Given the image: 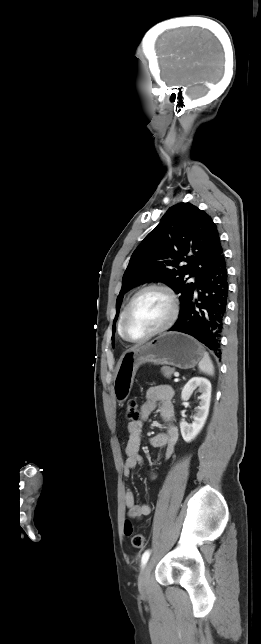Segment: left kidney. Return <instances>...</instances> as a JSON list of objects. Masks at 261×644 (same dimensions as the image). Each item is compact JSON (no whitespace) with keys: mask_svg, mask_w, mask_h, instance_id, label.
Segmentation results:
<instances>
[{"mask_svg":"<svg viewBox=\"0 0 261 644\" xmlns=\"http://www.w3.org/2000/svg\"><path fill=\"white\" fill-rule=\"evenodd\" d=\"M196 388H198V391L201 393V395L198 397L200 402L193 417L194 421L192 422V424H189L184 420L180 422L181 435L186 442H191L200 433L209 413L211 400V383L206 378H191L182 389V400L187 401Z\"/></svg>","mask_w":261,"mask_h":644,"instance_id":"left-kidney-1","label":"left kidney"}]
</instances>
